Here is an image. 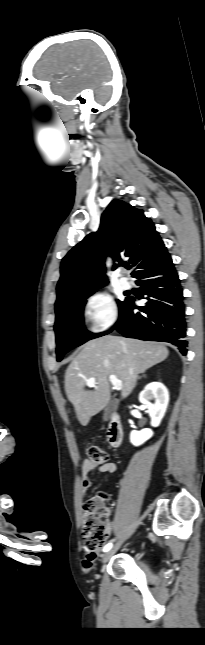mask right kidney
Wrapping results in <instances>:
<instances>
[{
  "instance_id": "1",
  "label": "right kidney",
  "mask_w": 205,
  "mask_h": 645,
  "mask_svg": "<svg viewBox=\"0 0 205 645\" xmlns=\"http://www.w3.org/2000/svg\"><path fill=\"white\" fill-rule=\"evenodd\" d=\"M153 399L155 401L151 403L150 401ZM139 401L147 409L146 412L151 418V425L153 427L159 426L169 402L167 388L160 382H152L139 394ZM152 435L153 431L149 428L142 429L141 431L132 430L130 433V442L134 446H139L150 439Z\"/></svg>"
}]
</instances>
